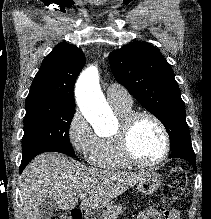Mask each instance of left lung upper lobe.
<instances>
[{
  "instance_id": "5c2ea615",
  "label": "left lung upper lobe",
  "mask_w": 211,
  "mask_h": 219,
  "mask_svg": "<svg viewBox=\"0 0 211 219\" xmlns=\"http://www.w3.org/2000/svg\"><path fill=\"white\" fill-rule=\"evenodd\" d=\"M115 79L155 115L170 137V150L191 141L184 102L171 66L147 42H135L109 54Z\"/></svg>"
}]
</instances>
